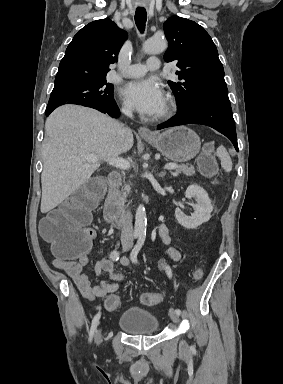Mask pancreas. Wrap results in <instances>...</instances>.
<instances>
[{"instance_id": "1", "label": "pancreas", "mask_w": 283, "mask_h": 384, "mask_svg": "<svg viewBox=\"0 0 283 384\" xmlns=\"http://www.w3.org/2000/svg\"><path fill=\"white\" fill-rule=\"evenodd\" d=\"M172 164H176V162H172ZM176 172L177 174H181V172H183L185 176H193V174H195V170L193 166H184V164H181V166H178ZM130 190H131L130 186H127L126 184V186H124V190H122V192H119L118 202L119 204H122V206H124Z\"/></svg>"}]
</instances>
